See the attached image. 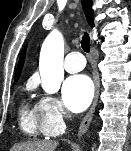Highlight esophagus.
Instances as JSON below:
<instances>
[{"mask_svg": "<svg viewBox=\"0 0 131 151\" xmlns=\"http://www.w3.org/2000/svg\"><path fill=\"white\" fill-rule=\"evenodd\" d=\"M93 79H94V84H95V95H94L93 103H92L88 113L83 118V120L79 126V129H78L79 137L82 136L88 130L89 125L92 121L94 112H95L97 102H98L100 83H99V74L96 70H94V72H93Z\"/></svg>", "mask_w": 131, "mask_h": 151, "instance_id": "1", "label": "esophagus"}]
</instances>
